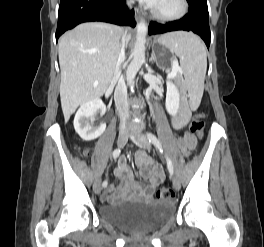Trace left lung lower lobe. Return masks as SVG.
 I'll use <instances>...</instances> for the list:
<instances>
[{
    "label": "left lung lower lobe",
    "instance_id": "obj_1",
    "mask_svg": "<svg viewBox=\"0 0 264 247\" xmlns=\"http://www.w3.org/2000/svg\"><path fill=\"white\" fill-rule=\"evenodd\" d=\"M189 12L182 19L160 24L151 22L149 25V35L161 34L171 31L184 30L198 34L209 48L210 28L207 0H187Z\"/></svg>",
    "mask_w": 264,
    "mask_h": 247
}]
</instances>
